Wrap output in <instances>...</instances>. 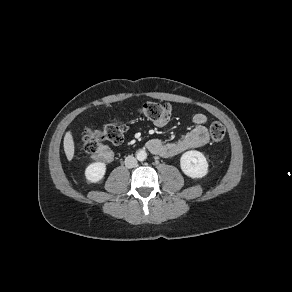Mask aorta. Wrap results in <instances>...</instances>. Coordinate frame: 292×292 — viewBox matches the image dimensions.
Returning a JSON list of instances; mask_svg holds the SVG:
<instances>
[{"label": "aorta", "instance_id": "1", "mask_svg": "<svg viewBox=\"0 0 292 292\" xmlns=\"http://www.w3.org/2000/svg\"><path fill=\"white\" fill-rule=\"evenodd\" d=\"M136 157L139 161H144L147 158V153L145 150H138L136 152Z\"/></svg>", "mask_w": 292, "mask_h": 292}]
</instances>
